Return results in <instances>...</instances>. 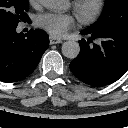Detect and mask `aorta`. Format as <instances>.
Returning <instances> with one entry per match:
<instances>
[{
    "label": "aorta",
    "instance_id": "1",
    "mask_svg": "<svg viewBox=\"0 0 128 128\" xmlns=\"http://www.w3.org/2000/svg\"><path fill=\"white\" fill-rule=\"evenodd\" d=\"M41 4L48 9H63L67 5V0H40ZM80 53V45L74 40L66 41L62 44V54L69 58L75 59Z\"/></svg>",
    "mask_w": 128,
    "mask_h": 128
}]
</instances>
